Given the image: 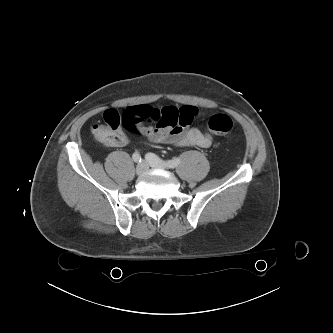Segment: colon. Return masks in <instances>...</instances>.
<instances>
[{"label":"colon","instance_id":"1","mask_svg":"<svg viewBox=\"0 0 333 333\" xmlns=\"http://www.w3.org/2000/svg\"><path fill=\"white\" fill-rule=\"evenodd\" d=\"M103 122L95 123L91 127L93 136L99 142L111 146L116 134L122 126L129 130L133 129L131 120L124 115L119 114L116 110H107L103 115ZM208 128L217 135H226L233 129L232 119L225 114H215L208 120Z\"/></svg>","mask_w":333,"mask_h":333}]
</instances>
